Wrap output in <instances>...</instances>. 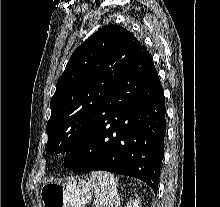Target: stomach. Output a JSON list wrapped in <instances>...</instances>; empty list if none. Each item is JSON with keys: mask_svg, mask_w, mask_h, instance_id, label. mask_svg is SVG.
Returning <instances> with one entry per match:
<instances>
[{"mask_svg": "<svg viewBox=\"0 0 220 207\" xmlns=\"http://www.w3.org/2000/svg\"><path fill=\"white\" fill-rule=\"evenodd\" d=\"M93 183L71 178L64 183H47L40 189L43 207H85L93 193Z\"/></svg>", "mask_w": 220, "mask_h": 207, "instance_id": "1", "label": "stomach"}]
</instances>
